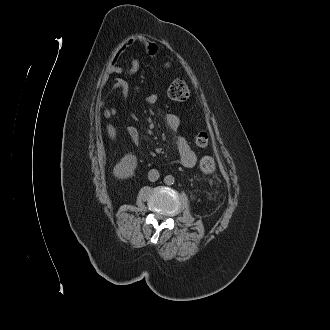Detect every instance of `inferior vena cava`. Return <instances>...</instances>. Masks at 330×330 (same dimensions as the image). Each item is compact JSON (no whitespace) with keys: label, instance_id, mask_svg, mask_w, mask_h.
I'll list each match as a JSON object with an SVG mask.
<instances>
[{"label":"inferior vena cava","instance_id":"inferior-vena-cava-1","mask_svg":"<svg viewBox=\"0 0 330 330\" xmlns=\"http://www.w3.org/2000/svg\"><path fill=\"white\" fill-rule=\"evenodd\" d=\"M159 172L156 169H152L148 172V179L152 182L158 180Z\"/></svg>","mask_w":330,"mask_h":330}]
</instances>
